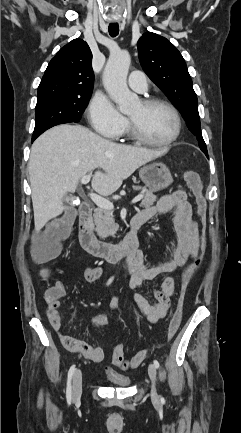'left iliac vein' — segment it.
Listing matches in <instances>:
<instances>
[{
    "mask_svg": "<svg viewBox=\"0 0 241 433\" xmlns=\"http://www.w3.org/2000/svg\"><path fill=\"white\" fill-rule=\"evenodd\" d=\"M148 374L152 382V389H151V397L154 401L158 400V394L156 391V367L153 364H149L148 366Z\"/></svg>",
    "mask_w": 241,
    "mask_h": 433,
    "instance_id": "obj_1",
    "label": "left iliac vein"
}]
</instances>
